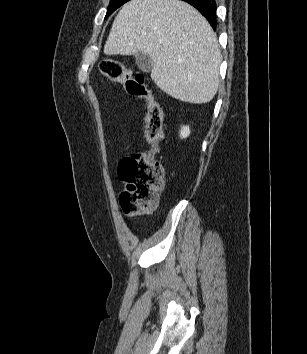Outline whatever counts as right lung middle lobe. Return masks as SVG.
<instances>
[{
  "label": "right lung middle lobe",
  "instance_id": "obj_1",
  "mask_svg": "<svg viewBox=\"0 0 307 354\" xmlns=\"http://www.w3.org/2000/svg\"><path fill=\"white\" fill-rule=\"evenodd\" d=\"M127 1L129 0H111L107 9L106 17L110 15L113 11H115L117 8H119L121 5L126 3Z\"/></svg>",
  "mask_w": 307,
  "mask_h": 354
}]
</instances>
